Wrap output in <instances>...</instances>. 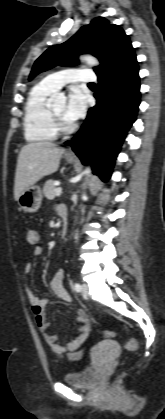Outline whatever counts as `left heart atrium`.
Here are the masks:
<instances>
[{
	"label": "left heart atrium",
	"mask_w": 165,
	"mask_h": 419,
	"mask_svg": "<svg viewBox=\"0 0 165 419\" xmlns=\"http://www.w3.org/2000/svg\"><path fill=\"white\" fill-rule=\"evenodd\" d=\"M86 105V95L79 88L75 87L71 89L68 94L64 119L68 122H74L80 119L85 114Z\"/></svg>",
	"instance_id": "obj_1"
}]
</instances>
